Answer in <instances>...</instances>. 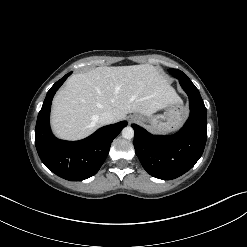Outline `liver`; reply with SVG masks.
Listing matches in <instances>:
<instances>
[{
  "label": "liver",
  "mask_w": 247,
  "mask_h": 247,
  "mask_svg": "<svg viewBox=\"0 0 247 247\" xmlns=\"http://www.w3.org/2000/svg\"><path fill=\"white\" fill-rule=\"evenodd\" d=\"M180 100L166 78L152 65L98 67L72 75L53 100L51 124L62 139L87 137L110 112L114 122L128 113L152 116L164 105Z\"/></svg>",
  "instance_id": "obj_1"
}]
</instances>
